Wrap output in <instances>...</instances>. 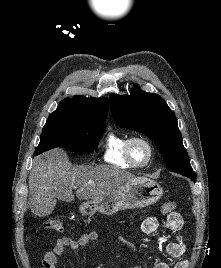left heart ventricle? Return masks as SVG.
<instances>
[{
  "mask_svg": "<svg viewBox=\"0 0 221 268\" xmlns=\"http://www.w3.org/2000/svg\"><path fill=\"white\" fill-rule=\"evenodd\" d=\"M148 151L146 146L141 142H136L132 146V156L138 163H143L147 159Z\"/></svg>",
  "mask_w": 221,
  "mask_h": 268,
  "instance_id": "1",
  "label": "left heart ventricle"
}]
</instances>
